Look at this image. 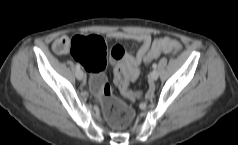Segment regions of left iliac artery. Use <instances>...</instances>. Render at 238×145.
Masks as SVG:
<instances>
[{
  "mask_svg": "<svg viewBox=\"0 0 238 145\" xmlns=\"http://www.w3.org/2000/svg\"><path fill=\"white\" fill-rule=\"evenodd\" d=\"M152 67H153L154 69H156V68H157V64L154 63V64L152 65Z\"/></svg>",
  "mask_w": 238,
  "mask_h": 145,
  "instance_id": "obj_1",
  "label": "left iliac artery"
}]
</instances>
